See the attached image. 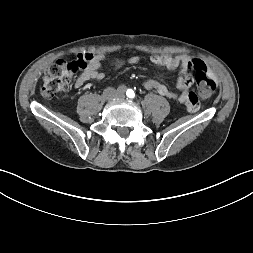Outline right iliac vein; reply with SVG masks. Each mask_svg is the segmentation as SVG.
<instances>
[{
    "instance_id": "63e3f726",
    "label": "right iliac vein",
    "mask_w": 253,
    "mask_h": 253,
    "mask_svg": "<svg viewBox=\"0 0 253 253\" xmlns=\"http://www.w3.org/2000/svg\"><path fill=\"white\" fill-rule=\"evenodd\" d=\"M114 95H115V93H114V91L111 90V89H109V90H107V91L105 92V97H106L107 99L112 98Z\"/></svg>"
}]
</instances>
